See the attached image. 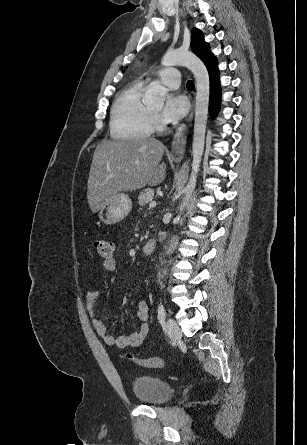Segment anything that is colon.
I'll use <instances>...</instances> for the list:
<instances>
[{"label": "colon", "instance_id": "colon-1", "mask_svg": "<svg viewBox=\"0 0 307 445\" xmlns=\"http://www.w3.org/2000/svg\"><path fill=\"white\" fill-rule=\"evenodd\" d=\"M94 246H95L99 256H101L104 259L112 258L114 246L111 241L97 240V241H95ZM127 358L131 361H134L138 365L143 366V367L156 368V369H160L163 367V360L158 357L139 358V357L134 356L133 354H127Z\"/></svg>", "mask_w": 307, "mask_h": 445}]
</instances>
